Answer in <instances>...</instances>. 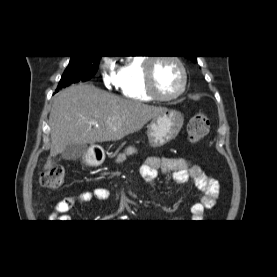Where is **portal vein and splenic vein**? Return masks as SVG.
I'll use <instances>...</instances> for the list:
<instances>
[{"mask_svg":"<svg viewBox=\"0 0 277 277\" xmlns=\"http://www.w3.org/2000/svg\"><path fill=\"white\" fill-rule=\"evenodd\" d=\"M91 124L93 125V126H98V124H97V122L96 121H91Z\"/></svg>","mask_w":277,"mask_h":277,"instance_id":"obj_1","label":"portal vein and splenic vein"}]
</instances>
